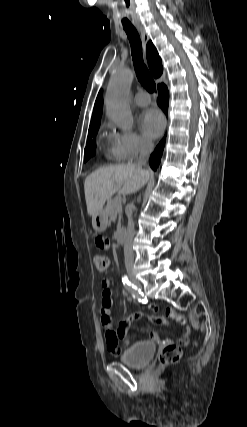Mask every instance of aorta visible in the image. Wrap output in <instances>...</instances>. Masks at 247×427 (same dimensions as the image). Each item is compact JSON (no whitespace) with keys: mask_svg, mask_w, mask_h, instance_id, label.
Masks as SVG:
<instances>
[{"mask_svg":"<svg viewBox=\"0 0 247 427\" xmlns=\"http://www.w3.org/2000/svg\"><path fill=\"white\" fill-rule=\"evenodd\" d=\"M133 73L127 68L115 69L107 87L105 104L108 118L125 130L133 127V116L128 106V96Z\"/></svg>","mask_w":247,"mask_h":427,"instance_id":"1","label":"aorta"}]
</instances>
